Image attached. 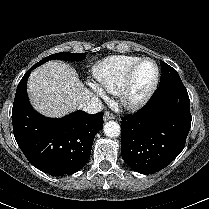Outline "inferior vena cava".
Segmentation results:
<instances>
[{
    "mask_svg": "<svg viewBox=\"0 0 209 209\" xmlns=\"http://www.w3.org/2000/svg\"><path fill=\"white\" fill-rule=\"evenodd\" d=\"M78 109L83 110L89 114H96L103 109V104L98 97L92 96L89 99L79 102Z\"/></svg>",
    "mask_w": 209,
    "mask_h": 209,
    "instance_id": "inferior-vena-cava-1",
    "label": "inferior vena cava"
}]
</instances>
